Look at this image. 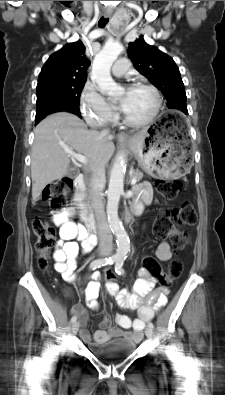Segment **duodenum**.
<instances>
[{
	"mask_svg": "<svg viewBox=\"0 0 225 395\" xmlns=\"http://www.w3.org/2000/svg\"><path fill=\"white\" fill-rule=\"evenodd\" d=\"M76 193L74 200L81 210L82 218L91 233L96 231V223L91 213L88 212L84 205V190H85V180L82 175L77 176L75 179Z\"/></svg>",
	"mask_w": 225,
	"mask_h": 395,
	"instance_id": "1",
	"label": "duodenum"
}]
</instances>
